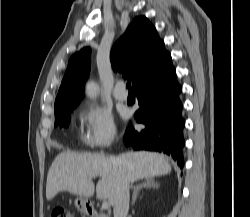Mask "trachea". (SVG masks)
<instances>
[{"label": "trachea", "mask_w": 250, "mask_h": 217, "mask_svg": "<svg viewBox=\"0 0 250 217\" xmlns=\"http://www.w3.org/2000/svg\"><path fill=\"white\" fill-rule=\"evenodd\" d=\"M126 88H127L130 92H133V89H132V87H131V82H130V81L127 82Z\"/></svg>", "instance_id": "trachea-1"}]
</instances>
